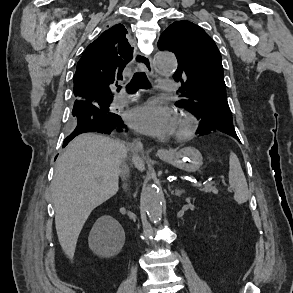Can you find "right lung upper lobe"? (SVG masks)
Wrapping results in <instances>:
<instances>
[{"instance_id": "1", "label": "right lung upper lobe", "mask_w": 293, "mask_h": 293, "mask_svg": "<svg viewBox=\"0 0 293 293\" xmlns=\"http://www.w3.org/2000/svg\"><path fill=\"white\" fill-rule=\"evenodd\" d=\"M127 30L116 24L92 42L79 60L74 75L76 100L93 103L98 98H113V90L122 71L132 59L133 48L126 39Z\"/></svg>"}]
</instances>
